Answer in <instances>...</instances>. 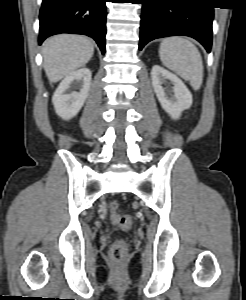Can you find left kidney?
<instances>
[{
    "instance_id": "5707ae66",
    "label": "left kidney",
    "mask_w": 246,
    "mask_h": 300,
    "mask_svg": "<svg viewBox=\"0 0 246 300\" xmlns=\"http://www.w3.org/2000/svg\"><path fill=\"white\" fill-rule=\"evenodd\" d=\"M151 80L154 92L162 108L171 116L172 119H178L181 113L189 109L192 105V94L175 74L167 71L159 65H154L151 70ZM170 81L173 84V96L168 97L169 92L163 87Z\"/></svg>"
}]
</instances>
